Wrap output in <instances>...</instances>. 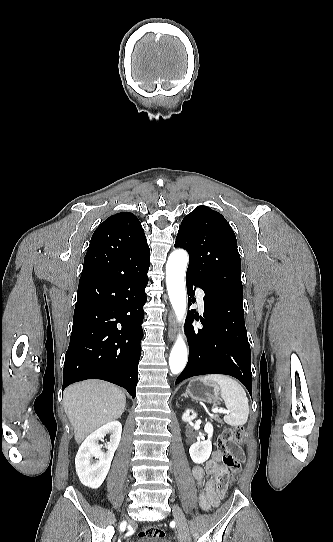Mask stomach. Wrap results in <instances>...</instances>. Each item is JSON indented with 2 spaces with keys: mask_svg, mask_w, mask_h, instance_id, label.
Wrapping results in <instances>:
<instances>
[{
  "mask_svg": "<svg viewBox=\"0 0 333 542\" xmlns=\"http://www.w3.org/2000/svg\"><path fill=\"white\" fill-rule=\"evenodd\" d=\"M186 392L190 398L197 400V402L213 404V402H219V400H221L220 392L216 384L204 382L203 378H193V380H190Z\"/></svg>",
  "mask_w": 333,
  "mask_h": 542,
  "instance_id": "stomach-1",
  "label": "stomach"
}]
</instances>
